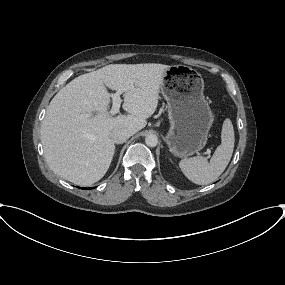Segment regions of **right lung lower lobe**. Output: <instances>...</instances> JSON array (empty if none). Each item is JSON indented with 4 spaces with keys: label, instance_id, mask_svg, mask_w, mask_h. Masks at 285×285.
<instances>
[{
    "label": "right lung lower lobe",
    "instance_id": "obj_1",
    "mask_svg": "<svg viewBox=\"0 0 285 285\" xmlns=\"http://www.w3.org/2000/svg\"><path fill=\"white\" fill-rule=\"evenodd\" d=\"M82 189H91V188H82Z\"/></svg>",
    "mask_w": 285,
    "mask_h": 285
}]
</instances>
